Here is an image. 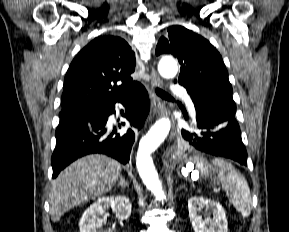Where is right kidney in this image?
Here are the masks:
<instances>
[{
    "instance_id": "obj_1",
    "label": "right kidney",
    "mask_w": 289,
    "mask_h": 232,
    "mask_svg": "<svg viewBox=\"0 0 289 232\" xmlns=\"http://www.w3.org/2000/svg\"><path fill=\"white\" fill-rule=\"evenodd\" d=\"M108 207L115 208L121 220H126L131 215V203L127 197L120 195L102 197L83 213L79 222L80 232H101L102 219L100 216L106 212ZM107 232H111V230Z\"/></svg>"
}]
</instances>
